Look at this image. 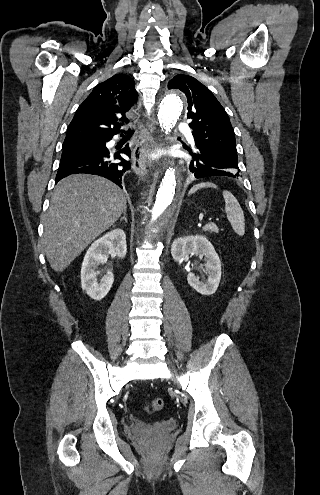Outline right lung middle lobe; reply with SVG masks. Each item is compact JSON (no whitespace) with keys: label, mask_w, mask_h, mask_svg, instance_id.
<instances>
[{"label":"right lung middle lobe","mask_w":320,"mask_h":495,"mask_svg":"<svg viewBox=\"0 0 320 495\" xmlns=\"http://www.w3.org/2000/svg\"><path fill=\"white\" fill-rule=\"evenodd\" d=\"M103 142L102 138H90L81 140L64 141L63 146H85L90 144H100Z\"/></svg>","instance_id":"1"}]
</instances>
